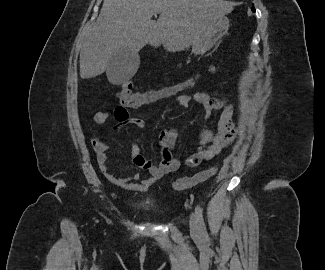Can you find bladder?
I'll return each mask as SVG.
<instances>
[{
  "label": "bladder",
  "instance_id": "31cf9c89",
  "mask_svg": "<svg viewBox=\"0 0 325 270\" xmlns=\"http://www.w3.org/2000/svg\"><path fill=\"white\" fill-rule=\"evenodd\" d=\"M143 206H148V203H147V202H144V203H143Z\"/></svg>",
  "mask_w": 325,
  "mask_h": 270
}]
</instances>
